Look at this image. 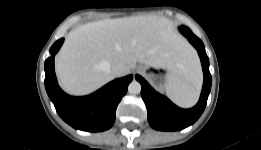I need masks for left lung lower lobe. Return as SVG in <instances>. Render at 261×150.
<instances>
[{
  "label": "left lung lower lobe",
  "instance_id": "0a47b994",
  "mask_svg": "<svg viewBox=\"0 0 261 150\" xmlns=\"http://www.w3.org/2000/svg\"><path fill=\"white\" fill-rule=\"evenodd\" d=\"M179 30L198 51L204 73L203 88L195 107L181 109L153 90L141 76L136 75V79L141 83V96L147 107L149 124L156 130L176 131L192 125L203 113L211 89L209 59L202 41L185 26H181Z\"/></svg>",
  "mask_w": 261,
  "mask_h": 150
}]
</instances>
